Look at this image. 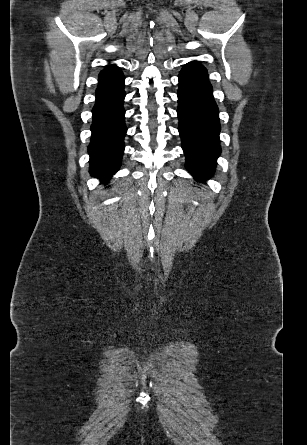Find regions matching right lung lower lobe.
Instances as JSON below:
<instances>
[{
	"label": "right lung lower lobe",
	"mask_w": 307,
	"mask_h": 445,
	"mask_svg": "<svg viewBox=\"0 0 307 445\" xmlns=\"http://www.w3.org/2000/svg\"><path fill=\"white\" fill-rule=\"evenodd\" d=\"M124 79L117 66L105 68L98 79L89 154L90 173L102 182H106L121 165L127 130L123 109Z\"/></svg>",
	"instance_id": "1"
}]
</instances>
